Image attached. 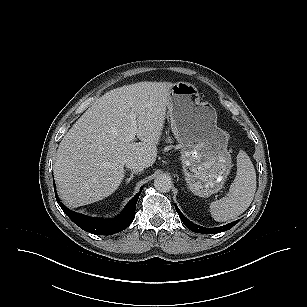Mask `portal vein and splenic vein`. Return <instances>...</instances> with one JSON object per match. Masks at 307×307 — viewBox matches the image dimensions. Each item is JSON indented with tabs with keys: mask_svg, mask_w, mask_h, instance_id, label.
Wrapping results in <instances>:
<instances>
[{
	"mask_svg": "<svg viewBox=\"0 0 307 307\" xmlns=\"http://www.w3.org/2000/svg\"><path fill=\"white\" fill-rule=\"evenodd\" d=\"M129 118H130L131 127H130L129 134L125 138V141L128 142V143L132 142L135 139L136 131H137L136 114L132 112L129 115Z\"/></svg>",
	"mask_w": 307,
	"mask_h": 307,
	"instance_id": "portal-vein-and-splenic-vein-1",
	"label": "portal vein and splenic vein"
}]
</instances>
